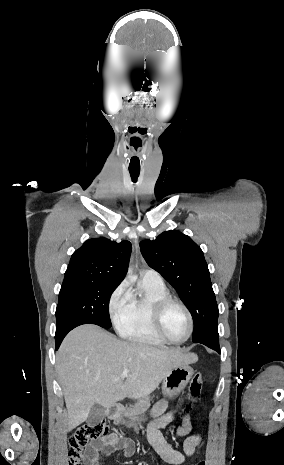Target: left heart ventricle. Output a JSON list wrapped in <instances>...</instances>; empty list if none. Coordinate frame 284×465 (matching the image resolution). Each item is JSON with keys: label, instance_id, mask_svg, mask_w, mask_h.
Instances as JSON below:
<instances>
[{"label": "left heart ventricle", "instance_id": "obj_1", "mask_svg": "<svg viewBox=\"0 0 284 465\" xmlns=\"http://www.w3.org/2000/svg\"><path fill=\"white\" fill-rule=\"evenodd\" d=\"M163 329L166 336L173 341L184 339L189 331V320L185 311L179 306H172L167 311Z\"/></svg>", "mask_w": 284, "mask_h": 465}]
</instances>
